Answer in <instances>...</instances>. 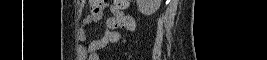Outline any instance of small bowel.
Returning <instances> with one entry per match:
<instances>
[{"label": "small bowel", "instance_id": "1", "mask_svg": "<svg viewBox=\"0 0 267 60\" xmlns=\"http://www.w3.org/2000/svg\"><path fill=\"white\" fill-rule=\"evenodd\" d=\"M127 5L128 4H125L124 6L119 7L115 3L114 4H104L103 8L98 13L89 14L83 19L82 25H81L80 30H79V37L84 40L87 37V28L91 24H93V23H95L101 19L104 10L109 9L113 13V16L109 17L106 20L104 33L100 37L92 40L84 48V53L86 55L95 56L101 49L106 47L108 44L117 43L120 41L121 33L117 30V28H113L111 26V23L113 21L123 22L125 24V26L123 28L126 29L127 31L133 30L134 20L130 16H127L124 13V9L126 8Z\"/></svg>", "mask_w": 267, "mask_h": 60}]
</instances>
